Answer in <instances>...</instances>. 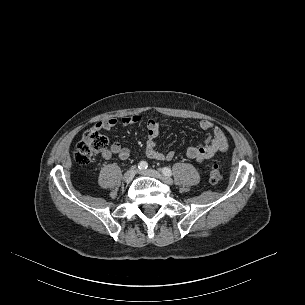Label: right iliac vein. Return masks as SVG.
<instances>
[{
  "label": "right iliac vein",
  "instance_id": "1",
  "mask_svg": "<svg viewBox=\"0 0 305 305\" xmlns=\"http://www.w3.org/2000/svg\"><path fill=\"white\" fill-rule=\"evenodd\" d=\"M137 173V168L133 167L131 169H129L128 171L125 172V174L123 175V180L126 183H129L133 180V178L135 177V174Z\"/></svg>",
  "mask_w": 305,
  "mask_h": 305
}]
</instances>
